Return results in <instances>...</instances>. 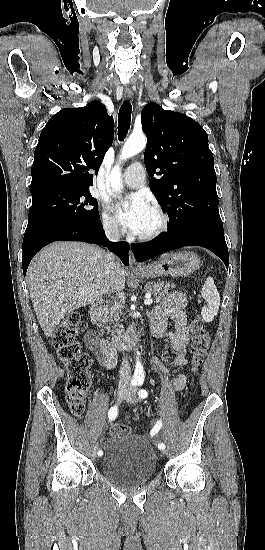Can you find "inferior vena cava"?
Returning a JSON list of instances; mask_svg holds the SVG:
<instances>
[{"instance_id":"602c4592","label":"inferior vena cava","mask_w":265,"mask_h":550,"mask_svg":"<svg viewBox=\"0 0 265 550\" xmlns=\"http://www.w3.org/2000/svg\"><path fill=\"white\" fill-rule=\"evenodd\" d=\"M104 230L106 233L107 238L110 241H119L120 240V233L118 226L116 224L110 223L104 225ZM106 265H107V274L112 280L115 277V263L116 258L115 255L112 253H106L105 255ZM119 379L121 383L128 384L131 381V368L128 362L127 357H124L120 371H119Z\"/></svg>"}]
</instances>
